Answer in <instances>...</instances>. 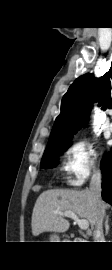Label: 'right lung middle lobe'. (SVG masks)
<instances>
[{
	"mask_svg": "<svg viewBox=\"0 0 112 270\" xmlns=\"http://www.w3.org/2000/svg\"><path fill=\"white\" fill-rule=\"evenodd\" d=\"M70 141L47 145L44 155L41 160L42 168H53L58 162L60 154L69 147Z\"/></svg>",
	"mask_w": 112,
	"mask_h": 270,
	"instance_id": "1",
	"label": "right lung middle lobe"
}]
</instances>
